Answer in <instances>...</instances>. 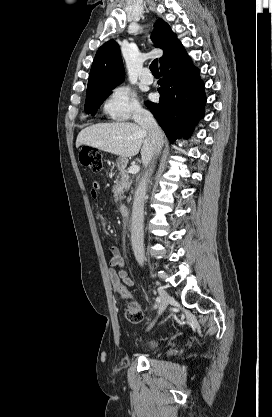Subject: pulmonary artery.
Returning a JSON list of instances; mask_svg holds the SVG:
<instances>
[{
	"label": "pulmonary artery",
	"instance_id": "obj_1",
	"mask_svg": "<svg viewBox=\"0 0 272 417\" xmlns=\"http://www.w3.org/2000/svg\"><path fill=\"white\" fill-rule=\"evenodd\" d=\"M140 79L145 84H151V83H153V76L150 74V72H149L148 69H145L142 72V74L140 76Z\"/></svg>",
	"mask_w": 272,
	"mask_h": 417
}]
</instances>
